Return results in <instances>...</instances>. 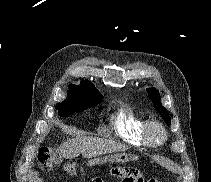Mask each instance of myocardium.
<instances>
[{"label":"myocardium","mask_w":211,"mask_h":182,"mask_svg":"<svg viewBox=\"0 0 211 182\" xmlns=\"http://www.w3.org/2000/svg\"><path fill=\"white\" fill-rule=\"evenodd\" d=\"M159 131L160 137L154 138L153 131ZM143 138L147 145L156 147L163 144L167 139V131L164 125L156 120L147 121L143 127Z\"/></svg>","instance_id":"myocardium-1"}]
</instances>
